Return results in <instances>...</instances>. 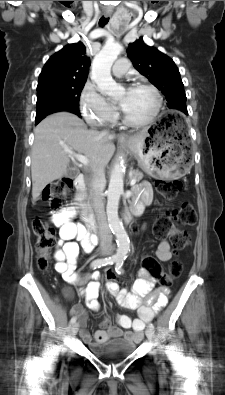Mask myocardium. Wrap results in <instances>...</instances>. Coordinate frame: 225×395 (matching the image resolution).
<instances>
[{"label": "myocardium", "mask_w": 225, "mask_h": 395, "mask_svg": "<svg viewBox=\"0 0 225 395\" xmlns=\"http://www.w3.org/2000/svg\"><path fill=\"white\" fill-rule=\"evenodd\" d=\"M135 88H144L149 90L155 99V105L153 108L152 113L150 114V116L148 118H146L145 120L142 121H132L130 119H128L125 115L122 116V121L125 125L129 126V127H134V128H140V127H145L149 124H151L156 117L158 116L161 106H162V98L160 95L159 90L152 84L147 83V82H137L132 86V89Z\"/></svg>", "instance_id": "1"}]
</instances>
